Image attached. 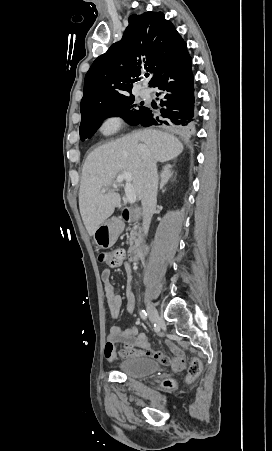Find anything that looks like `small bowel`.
<instances>
[{"instance_id":"obj_1","label":"small bowel","mask_w":272,"mask_h":451,"mask_svg":"<svg viewBox=\"0 0 272 451\" xmlns=\"http://www.w3.org/2000/svg\"><path fill=\"white\" fill-rule=\"evenodd\" d=\"M100 277L104 285L108 309L112 318L116 319L120 314L122 298L115 292L111 282L112 274L109 268L103 269ZM129 280L130 279L128 278L126 286V309L128 312H132L135 307V297L131 291ZM117 345H120L118 349ZM174 345L177 347L175 350L172 348ZM165 346L168 348L169 352H175L176 356H184L183 351L174 342L166 340ZM157 352L162 351L152 348L148 336L145 333H139L134 327L121 329L119 326L114 325L111 326L108 331L104 355L109 361H114L117 356H120L123 359L150 356L157 360Z\"/></svg>"}]
</instances>
